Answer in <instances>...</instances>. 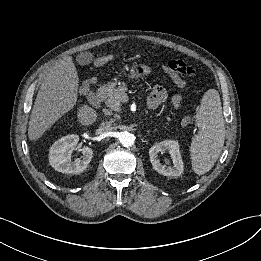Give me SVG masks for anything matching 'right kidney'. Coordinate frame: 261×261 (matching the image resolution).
Here are the masks:
<instances>
[{
  "mask_svg": "<svg viewBox=\"0 0 261 261\" xmlns=\"http://www.w3.org/2000/svg\"><path fill=\"white\" fill-rule=\"evenodd\" d=\"M79 141L78 135H67L57 140L50 148L49 163L58 172L77 174L83 172L93 157L91 148H81L82 159L71 162V154L76 149Z\"/></svg>",
  "mask_w": 261,
  "mask_h": 261,
  "instance_id": "ca27d5eb",
  "label": "right kidney"
}]
</instances>
